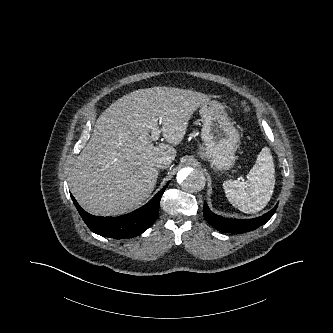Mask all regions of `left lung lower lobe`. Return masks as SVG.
<instances>
[{
	"label": "left lung lower lobe",
	"instance_id": "obj_1",
	"mask_svg": "<svg viewBox=\"0 0 333 333\" xmlns=\"http://www.w3.org/2000/svg\"><path fill=\"white\" fill-rule=\"evenodd\" d=\"M277 205L266 214L254 219H227L212 213L206 202L203 207V216L206 221L221 232L244 233L265 224L275 213Z\"/></svg>",
	"mask_w": 333,
	"mask_h": 333
}]
</instances>
